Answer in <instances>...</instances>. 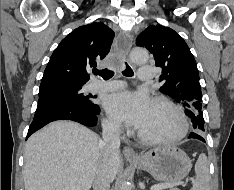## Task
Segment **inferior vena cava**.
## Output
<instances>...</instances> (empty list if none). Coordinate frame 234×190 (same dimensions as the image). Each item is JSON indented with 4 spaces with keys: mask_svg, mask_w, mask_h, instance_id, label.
Instances as JSON below:
<instances>
[{
    "mask_svg": "<svg viewBox=\"0 0 234 190\" xmlns=\"http://www.w3.org/2000/svg\"><path fill=\"white\" fill-rule=\"evenodd\" d=\"M102 137L100 142L102 150L101 162L99 163L94 180L93 190H110L111 176L109 171V157L119 153L120 147V123L103 122Z\"/></svg>",
    "mask_w": 234,
    "mask_h": 190,
    "instance_id": "obj_1",
    "label": "inferior vena cava"
}]
</instances>
